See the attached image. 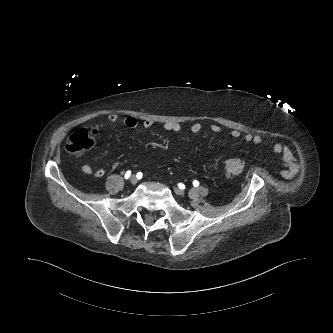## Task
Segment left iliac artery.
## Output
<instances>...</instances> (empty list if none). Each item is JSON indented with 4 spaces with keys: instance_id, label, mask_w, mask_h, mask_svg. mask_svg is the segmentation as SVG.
Wrapping results in <instances>:
<instances>
[{
    "instance_id": "left-iliac-artery-1",
    "label": "left iliac artery",
    "mask_w": 333,
    "mask_h": 333,
    "mask_svg": "<svg viewBox=\"0 0 333 333\" xmlns=\"http://www.w3.org/2000/svg\"><path fill=\"white\" fill-rule=\"evenodd\" d=\"M193 185H194L195 187H197V186H199V182H198L197 180H194V181H193ZM179 187L182 188L183 185H182V184H179Z\"/></svg>"
}]
</instances>
